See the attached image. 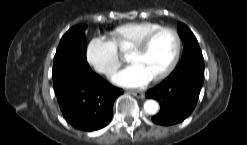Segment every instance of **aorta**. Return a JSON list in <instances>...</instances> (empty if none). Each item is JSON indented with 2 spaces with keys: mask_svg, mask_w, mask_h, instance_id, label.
<instances>
[{
  "mask_svg": "<svg viewBox=\"0 0 247 145\" xmlns=\"http://www.w3.org/2000/svg\"><path fill=\"white\" fill-rule=\"evenodd\" d=\"M144 110L149 115H154L159 110V104L155 100H147L144 103Z\"/></svg>",
  "mask_w": 247,
  "mask_h": 145,
  "instance_id": "1",
  "label": "aorta"
}]
</instances>
